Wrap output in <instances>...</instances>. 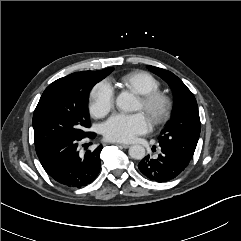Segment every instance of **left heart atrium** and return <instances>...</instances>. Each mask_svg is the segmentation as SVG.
Masks as SVG:
<instances>
[{
  "label": "left heart atrium",
  "instance_id": "1",
  "mask_svg": "<svg viewBox=\"0 0 241 241\" xmlns=\"http://www.w3.org/2000/svg\"><path fill=\"white\" fill-rule=\"evenodd\" d=\"M151 123L142 113L115 114L103 125V134L109 141L127 143L132 142L138 135L147 133Z\"/></svg>",
  "mask_w": 241,
  "mask_h": 241
}]
</instances>
